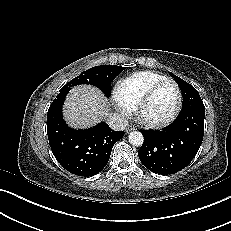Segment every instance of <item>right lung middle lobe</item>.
<instances>
[{
    "label": "right lung middle lobe",
    "mask_w": 231,
    "mask_h": 231,
    "mask_svg": "<svg viewBox=\"0 0 231 231\" xmlns=\"http://www.w3.org/2000/svg\"><path fill=\"white\" fill-rule=\"evenodd\" d=\"M124 69L125 67L120 66H96L84 71L63 87L71 89V87L79 84H90L98 87L107 97H109L111 93V81L114 80Z\"/></svg>",
    "instance_id": "dd1d6c3e"
}]
</instances>
